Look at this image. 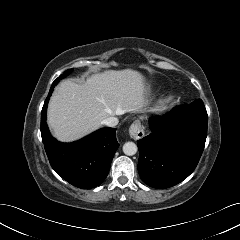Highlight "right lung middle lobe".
I'll use <instances>...</instances> for the list:
<instances>
[{
	"label": "right lung middle lobe",
	"mask_w": 240,
	"mask_h": 240,
	"mask_svg": "<svg viewBox=\"0 0 240 240\" xmlns=\"http://www.w3.org/2000/svg\"><path fill=\"white\" fill-rule=\"evenodd\" d=\"M72 70H73V69L66 70L62 75H60V76L53 82V84H52L51 87H55V85L59 82V80H60L62 77L68 75Z\"/></svg>",
	"instance_id": "1"
}]
</instances>
